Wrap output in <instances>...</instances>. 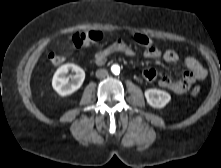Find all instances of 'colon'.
I'll return each instance as SVG.
<instances>
[{"label": "colon", "instance_id": "obj_1", "mask_svg": "<svg viewBox=\"0 0 221 168\" xmlns=\"http://www.w3.org/2000/svg\"><path fill=\"white\" fill-rule=\"evenodd\" d=\"M101 38H102V34L100 32H77L73 35L72 42L76 48H83L91 43H95L101 40ZM134 40L140 46H143L146 48L152 46L151 39L144 34H141V33L135 34ZM48 59L50 63H52L53 65H59L63 63L65 60L63 56L56 54V53H50L48 56ZM199 93H200V88L194 87L192 90V94L198 95Z\"/></svg>", "mask_w": 221, "mask_h": 168}]
</instances>
